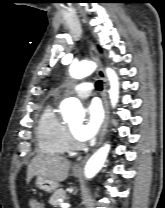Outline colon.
<instances>
[{
	"mask_svg": "<svg viewBox=\"0 0 165 208\" xmlns=\"http://www.w3.org/2000/svg\"><path fill=\"white\" fill-rule=\"evenodd\" d=\"M29 208H43V205L40 200L36 198H31L28 202Z\"/></svg>",
	"mask_w": 165,
	"mask_h": 208,
	"instance_id": "colon-1",
	"label": "colon"
}]
</instances>
